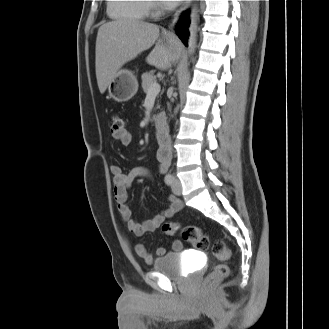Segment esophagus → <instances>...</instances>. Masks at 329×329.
<instances>
[{
	"label": "esophagus",
	"instance_id": "obj_1",
	"mask_svg": "<svg viewBox=\"0 0 329 329\" xmlns=\"http://www.w3.org/2000/svg\"><path fill=\"white\" fill-rule=\"evenodd\" d=\"M190 3H191V0H182L181 6L179 7V9L174 14L172 23L170 25V30L172 32L174 31L175 25L178 22L181 14L184 13L188 9Z\"/></svg>",
	"mask_w": 329,
	"mask_h": 329
}]
</instances>
